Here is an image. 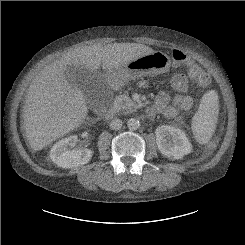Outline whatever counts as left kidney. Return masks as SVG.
Instances as JSON below:
<instances>
[{
  "mask_svg": "<svg viewBox=\"0 0 245 245\" xmlns=\"http://www.w3.org/2000/svg\"><path fill=\"white\" fill-rule=\"evenodd\" d=\"M155 134L158 149L167 158L182 159L192 151V144L179 128L162 125L156 128Z\"/></svg>",
  "mask_w": 245,
  "mask_h": 245,
  "instance_id": "left-kidney-1",
  "label": "left kidney"
}]
</instances>
